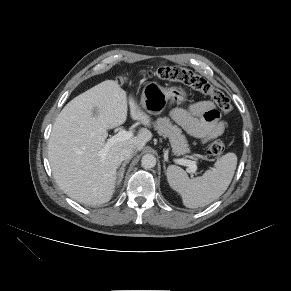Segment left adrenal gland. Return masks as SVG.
I'll use <instances>...</instances> for the list:
<instances>
[{"instance_id": "left-adrenal-gland-1", "label": "left adrenal gland", "mask_w": 291, "mask_h": 291, "mask_svg": "<svg viewBox=\"0 0 291 291\" xmlns=\"http://www.w3.org/2000/svg\"><path fill=\"white\" fill-rule=\"evenodd\" d=\"M163 167H164V170H166V166H165V163H163Z\"/></svg>"}]
</instances>
